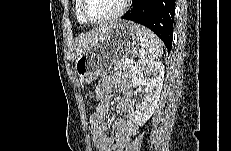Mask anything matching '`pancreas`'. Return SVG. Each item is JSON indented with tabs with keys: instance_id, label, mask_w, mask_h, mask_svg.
<instances>
[{
	"instance_id": "obj_1",
	"label": "pancreas",
	"mask_w": 231,
	"mask_h": 151,
	"mask_svg": "<svg viewBox=\"0 0 231 151\" xmlns=\"http://www.w3.org/2000/svg\"><path fill=\"white\" fill-rule=\"evenodd\" d=\"M115 66L118 67L120 70L130 74L133 69V63H126L125 59H120L115 63Z\"/></svg>"
}]
</instances>
